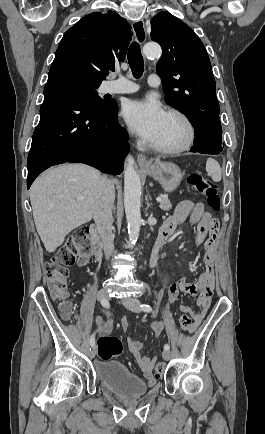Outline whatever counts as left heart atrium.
<instances>
[{
  "mask_svg": "<svg viewBox=\"0 0 265 434\" xmlns=\"http://www.w3.org/2000/svg\"><path fill=\"white\" fill-rule=\"evenodd\" d=\"M123 116L128 126L150 143L156 141L166 119L164 109L153 99L129 101Z\"/></svg>",
  "mask_w": 265,
  "mask_h": 434,
  "instance_id": "obj_1",
  "label": "left heart atrium"
}]
</instances>
